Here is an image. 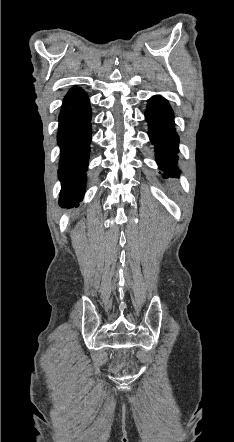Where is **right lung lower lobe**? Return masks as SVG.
I'll return each mask as SVG.
<instances>
[{"label":"right lung lower lobe","mask_w":234,"mask_h":442,"mask_svg":"<svg viewBox=\"0 0 234 442\" xmlns=\"http://www.w3.org/2000/svg\"><path fill=\"white\" fill-rule=\"evenodd\" d=\"M57 137L62 180L59 204L72 207L83 198L91 141V108L80 88H73L64 98Z\"/></svg>","instance_id":"1"}]
</instances>
